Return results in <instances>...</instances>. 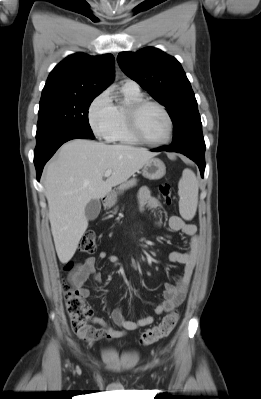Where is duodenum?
Wrapping results in <instances>:
<instances>
[{
  "label": "duodenum",
  "mask_w": 261,
  "mask_h": 399,
  "mask_svg": "<svg viewBox=\"0 0 261 399\" xmlns=\"http://www.w3.org/2000/svg\"><path fill=\"white\" fill-rule=\"evenodd\" d=\"M108 202H109V197L106 196V197L104 198V203L107 204Z\"/></svg>",
  "instance_id": "duodenum-1"
}]
</instances>
